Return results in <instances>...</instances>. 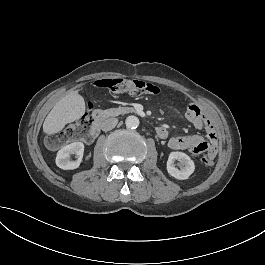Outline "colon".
<instances>
[{"mask_svg": "<svg viewBox=\"0 0 265 265\" xmlns=\"http://www.w3.org/2000/svg\"><path fill=\"white\" fill-rule=\"evenodd\" d=\"M98 90H106L113 94H128L132 96L153 95L159 92V87L153 83L124 78H100L94 82ZM77 131L73 128H65L57 133L51 134L47 138V144L50 147L59 146L76 136ZM201 163L210 166L213 162L206 155L201 159Z\"/></svg>", "mask_w": 265, "mask_h": 265, "instance_id": "1", "label": "colon"}]
</instances>
